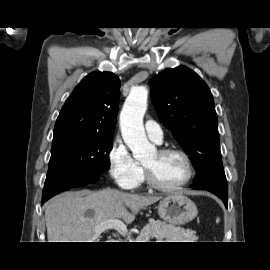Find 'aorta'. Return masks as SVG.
I'll use <instances>...</instances> for the list:
<instances>
[{"instance_id":"1","label":"aorta","mask_w":270,"mask_h":270,"mask_svg":"<svg viewBox=\"0 0 270 270\" xmlns=\"http://www.w3.org/2000/svg\"><path fill=\"white\" fill-rule=\"evenodd\" d=\"M148 90L144 86L131 90L120 113L124 142L137 160L148 158L154 151L145 134L143 117L147 109Z\"/></svg>"}]
</instances>
